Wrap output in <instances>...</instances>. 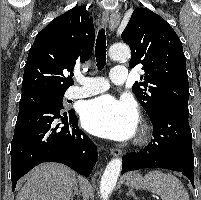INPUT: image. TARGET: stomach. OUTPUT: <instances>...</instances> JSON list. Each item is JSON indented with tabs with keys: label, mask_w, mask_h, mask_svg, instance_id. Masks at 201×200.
Returning <instances> with one entry per match:
<instances>
[{
	"label": "stomach",
	"mask_w": 201,
	"mask_h": 200,
	"mask_svg": "<svg viewBox=\"0 0 201 200\" xmlns=\"http://www.w3.org/2000/svg\"><path fill=\"white\" fill-rule=\"evenodd\" d=\"M127 184L135 189H140V188H144L145 183H144V178L139 174V173H134L131 174L128 178H127Z\"/></svg>",
	"instance_id": "1"
}]
</instances>
